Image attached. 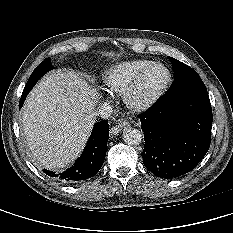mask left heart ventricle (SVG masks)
Instances as JSON below:
<instances>
[{"instance_id": "b2bd125f", "label": "left heart ventricle", "mask_w": 233, "mask_h": 233, "mask_svg": "<svg viewBox=\"0 0 233 233\" xmlns=\"http://www.w3.org/2000/svg\"><path fill=\"white\" fill-rule=\"evenodd\" d=\"M166 80V72L162 68H155L146 78L141 95L148 96L158 89Z\"/></svg>"}]
</instances>
